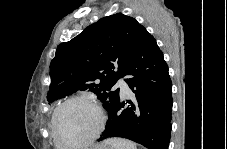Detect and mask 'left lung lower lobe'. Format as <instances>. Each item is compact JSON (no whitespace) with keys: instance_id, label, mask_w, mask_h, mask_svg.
Instances as JSON below:
<instances>
[{"instance_id":"left-lung-lower-lobe-1","label":"left lung lower lobe","mask_w":227,"mask_h":149,"mask_svg":"<svg viewBox=\"0 0 227 149\" xmlns=\"http://www.w3.org/2000/svg\"><path fill=\"white\" fill-rule=\"evenodd\" d=\"M123 76L135 99L120 98L110 109L106 129L98 141L122 137L148 149H168L171 133L172 83L168 66L154 37L142 27Z\"/></svg>"}]
</instances>
